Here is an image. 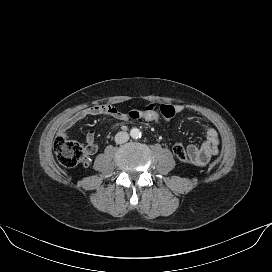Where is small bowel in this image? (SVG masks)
I'll return each instance as SVG.
<instances>
[{
	"mask_svg": "<svg viewBox=\"0 0 272 272\" xmlns=\"http://www.w3.org/2000/svg\"><path fill=\"white\" fill-rule=\"evenodd\" d=\"M148 106L155 107L154 104H148ZM176 112L182 113L184 111L183 105H176ZM107 115L114 119L125 121L129 120L128 113L119 111L114 106L108 104H98L85 109H82L67 118L63 119L59 126L58 135L60 137H66L68 131L77 123L85 120L90 116ZM86 143V150L88 154L96 153L98 147L95 143V134L93 131L86 133L84 137ZM219 135L215 128L209 127L205 132V141L200 145L187 146V153L193 164L201 166L205 165L212 156H215L219 152Z\"/></svg>",
	"mask_w": 272,
	"mask_h": 272,
	"instance_id": "c3829d8e",
	"label": "small bowel"
}]
</instances>
